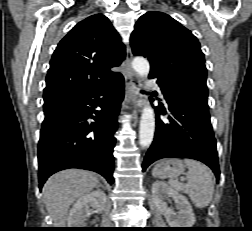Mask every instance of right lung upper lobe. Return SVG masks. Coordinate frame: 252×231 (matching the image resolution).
<instances>
[{
	"mask_svg": "<svg viewBox=\"0 0 252 231\" xmlns=\"http://www.w3.org/2000/svg\"><path fill=\"white\" fill-rule=\"evenodd\" d=\"M125 47L109 19L92 15L76 24L60 41L50 61L43 98L68 100L121 78L110 68L121 64Z\"/></svg>",
	"mask_w": 252,
	"mask_h": 231,
	"instance_id": "cb5924a9",
	"label": "right lung upper lobe"
}]
</instances>
